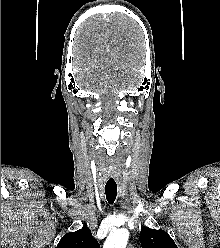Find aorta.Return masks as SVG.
Masks as SVG:
<instances>
[{"mask_svg": "<svg viewBox=\"0 0 220 248\" xmlns=\"http://www.w3.org/2000/svg\"><path fill=\"white\" fill-rule=\"evenodd\" d=\"M129 232L126 229H118L109 234L103 248H126Z\"/></svg>", "mask_w": 220, "mask_h": 248, "instance_id": "aorta-1", "label": "aorta"}]
</instances>
